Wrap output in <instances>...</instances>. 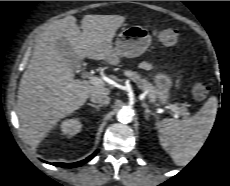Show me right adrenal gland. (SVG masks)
Listing matches in <instances>:
<instances>
[{"mask_svg":"<svg viewBox=\"0 0 230 186\" xmlns=\"http://www.w3.org/2000/svg\"><path fill=\"white\" fill-rule=\"evenodd\" d=\"M87 105H89L91 107H94L96 109V111H99L100 107H102V105H95V104H92V103H87Z\"/></svg>","mask_w":230,"mask_h":186,"instance_id":"obj_1","label":"right adrenal gland"}]
</instances>
